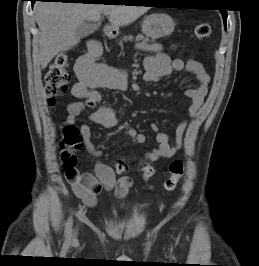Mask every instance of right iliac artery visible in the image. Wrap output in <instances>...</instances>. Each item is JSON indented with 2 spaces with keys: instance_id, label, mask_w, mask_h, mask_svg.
<instances>
[{
  "instance_id": "1",
  "label": "right iliac artery",
  "mask_w": 259,
  "mask_h": 266,
  "mask_svg": "<svg viewBox=\"0 0 259 266\" xmlns=\"http://www.w3.org/2000/svg\"><path fill=\"white\" fill-rule=\"evenodd\" d=\"M71 232H72V217H70L68 219V222L66 224L65 234H66V239L67 240H70V238H71Z\"/></svg>"
}]
</instances>
